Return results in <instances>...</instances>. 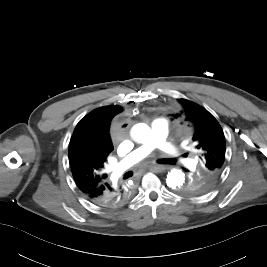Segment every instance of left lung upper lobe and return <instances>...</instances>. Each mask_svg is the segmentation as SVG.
<instances>
[{
  "label": "left lung upper lobe",
  "mask_w": 267,
  "mask_h": 267,
  "mask_svg": "<svg viewBox=\"0 0 267 267\" xmlns=\"http://www.w3.org/2000/svg\"><path fill=\"white\" fill-rule=\"evenodd\" d=\"M186 120L194 127L192 140L201 153V165L192 177L179 188L185 196L200 195L210 191L224 169L225 137L214 116L203 107L186 99H180Z\"/></svg>",
  "instance_id": "left-lung-upper-lobe-1"
}]
</instances>
